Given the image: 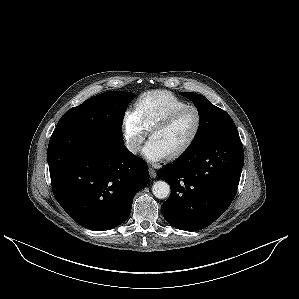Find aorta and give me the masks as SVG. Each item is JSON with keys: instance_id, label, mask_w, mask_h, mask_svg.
<instances>
[{"instance_id": "1", "label": "aorta", "mask_w": 299, "mask_h": 299, "mask_svg": "<svg viewBox=\"0 0 299 299\" xmlns=\"http://www.w3.org/2000/svg\"><path fill=\"white\" fill-rule=\"evenodd\" d=\"M152 192L156 198L164 199L170 194V186L167 182L160 180L153 184Z\"/></svg>"}]
</instances>
